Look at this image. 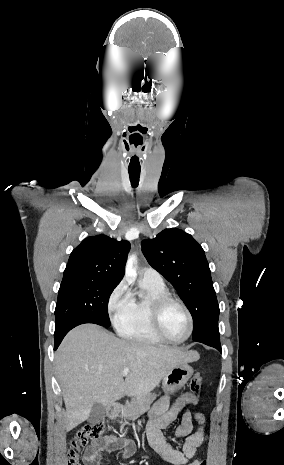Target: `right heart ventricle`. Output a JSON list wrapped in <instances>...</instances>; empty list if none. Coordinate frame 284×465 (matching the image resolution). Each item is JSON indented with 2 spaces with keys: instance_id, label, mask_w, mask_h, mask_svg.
<instances>
[{
  "instance_id": "1",
  "label": "right heart ventricle",
  "mask_w": 284,
  "mask_h": 465,
  "mask_svg": "<svg viewBox=\"0 0 284 465\" xmlns=\"http://www.w3.org/2000/svg\"><path fill=\"white\" fill-rule=\"evenodd\" d=\"M148 292L147 297L133 300L130 308L120 316L115 326L118 333L132 343L145 346H161L163 342L152 332L149 321H151V307L156 298L170 296L164 282L148 283L143 281Z\"/></svg>"
}]
</instances>
